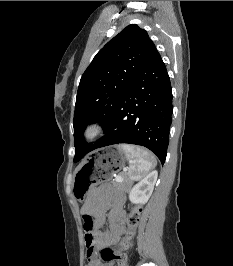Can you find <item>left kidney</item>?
<instances>
[{
	"mask_svg": "<svg viewBox=\"0 0 233 266\" xmlns=\"http://www.w3.org/2000/svg\"><path fill=\"white\" fill-rule=\"evenodd\" d=\"M157 171H152L129 191V200L134 204H145L149 200L157 180Z\"/></svg>",
	"mask_w": 233,
	"mask_h": 266,
	"instance_id": "left-kidney-1",
	"label": "left kidney"
}]
</instances>
